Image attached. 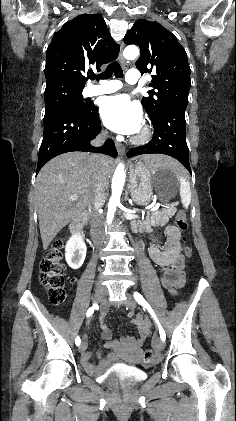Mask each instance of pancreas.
<instances>
[{"mask_svg":"<svg viewBox=\"0 0 236 421\" xmlns=\"http://www.w3.org/2000/svg\"><path fill=\"white\" fill-rule=\"evenodd\" d=\"M176 211L177 208L175 204H167L165 208H160V211H155V213H152V215L155 217L157 223H160V225H166L169 219L175 215ZM149 215L150 213H147L145 221H131L130 225L132 229H135V231L138 229V231H141V233L147 231L150 225Z\"/></svg>","mask_w":236,"mask_h":421,"instance_id":"1","label":"pancreas"}]
</instances>
